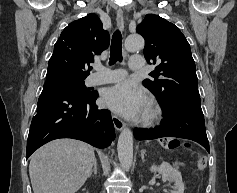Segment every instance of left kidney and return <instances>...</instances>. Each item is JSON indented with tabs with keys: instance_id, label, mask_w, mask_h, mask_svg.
Wrapping results in <instances>:
<instances>
[{
	"instance_id": "obj_1",
	"label": "left kidney",
	"mask_w": 237,
	"mask_h": 193,
	"mask_svg": "<svg viewBox=\"0 0 237 193\" xmlns=\"http://www.w3.org/2000/svg\"><path fill=\"white\" fill-rule=\"evenodd\" d=\"M151 172H158L162 176L163 181L174 182V187L171 193H184V184L179 170L173 168L169 163L162 162L160 166H151Z\"/></svg>"
}]
</instances>
